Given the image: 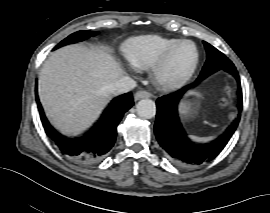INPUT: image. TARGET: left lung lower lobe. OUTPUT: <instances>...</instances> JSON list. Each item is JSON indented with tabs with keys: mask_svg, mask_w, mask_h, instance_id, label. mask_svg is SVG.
Wrapping results in <instances>:
<instances>
[{
	"mask_svg": "<svg viewBox=\"0 0 270 213\" xmlns=\"http://www.w3.org/2000/svg\"><path fill=\"white\" fill-rule=\"evenodd\" d=\"M225 70L231 73L238 83L239 114L223 135L208 144H196L188 138L177 111L178 103L185 92L195 87L200 81L196 80L194 84L158 98L154 132L164 153L173 164L183 168H191L213 160L224 149L235 132L240 120V111L242 110V91L235 66L233 65Z\"/></svg>",
	"mask_w": 270,
	"mask_h": 213,
	"instance_id": "1",
	"label": "left lung lower lobe"
}]
</instances>
